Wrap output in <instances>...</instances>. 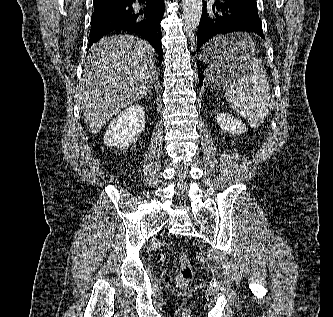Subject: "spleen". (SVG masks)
I'll return each mask as SVG.
<instances>
[{
  "instance_id": "spleen-1",
  "label": "spleen",
  "mask_w": 333,
  "mask_h": 317,
  "mask_svg": "<svg viewBox=\"0 0 333 317\" xmlns=\"http://www.w3.org/2000/svg\"><path fill=\"white\" fill-rule=\"evenodd\" d=\"M223 44L241 60L240 68L226 87L225 99L253 128L265 121L270 106V88L261 62L254 57L252 41L243 33L227 35ZM247 62L243 61V59Z\"/></svg>"
}]
</instances>
